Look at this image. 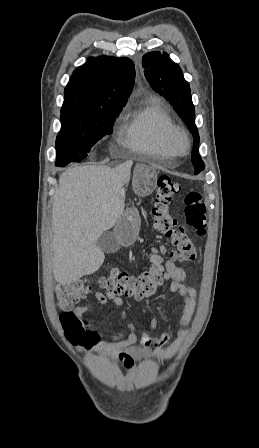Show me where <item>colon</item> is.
Instances as JSON below:
<instances>
[{"label":"colon","instance_id":"obj_1","mask_svg":"<svg viewBox=\"0 0 259 448\" xmlns=\"http://www.w3.org/2000/svg\"><path fill=\"white\" fill-rule=\"evenodd\" d=\"M180 190V184L171 177H159L152 215L154 228L172 242L173 248L166 250V254L173 260L187 262L196 257L194 243L169 212V204ZM184 203L187 226L197 235H204L207 226V211L202 195L197 191H191L186 194ZM161 259L160 255L153 254L148 258L147 267L141 274L133 276L114 271L102 277L99 285L118 296L124 295L136 300L149 298L155 294L162 283ZM90 291L91 286L86 279L61 285L55 291L57 305L63 310L60 321L67 339L75 345L81 344L87 338L89 324L76 316L71 309L80 300L86 298ZM141 342L144 346L152 343L147 338Z\"/></svg>","mask_w":259,"mask_h":448}]
</instances>
